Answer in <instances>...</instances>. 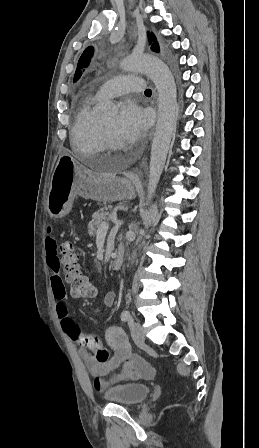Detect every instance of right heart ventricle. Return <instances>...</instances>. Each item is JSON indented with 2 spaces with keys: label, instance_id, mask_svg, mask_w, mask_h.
I'll return each instance as SVG.
<instances>
[{
  "label": "right heart ventricle",
  "instance_id": "obj_1",
  "mask_svg": "<svg viewBox=\"0 0 259 448\" xmlns=\"http://www.w3.org/2000/svg\"><path fill=\"white\" fill-rule=\"evenodd\" d=\"M101 100L96 92H90L86 95L84 102L77 106L71 130L72 144L78 151L86 155L104 150L99 130L100 120L94 115V107ZM82 163L88 162L85 160Z\"/></svg>",
  "mask_w": 259,
  "mask_h": 448
}]
</instances>
